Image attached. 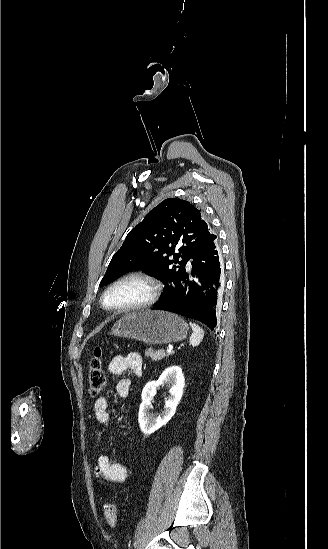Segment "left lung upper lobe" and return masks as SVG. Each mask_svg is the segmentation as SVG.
<instances>
[{"label": "left lung upper lobe", "mask_w": 328, "mask_h": 549, "mask_svg": "<svg viewBox=\"0 0 328 549\" xmlns=\"http://www.w3.org/2000/svg\"><path fill=\"white\" fill-rule=\"evenodd\" d=\"M215 239L200 210L188 201L168 198L128 233L100 286L131 270H141L164 283L165 297L185 272L187 262Z\"/></svg>", "instance_id": "obj_1"}]
</instances>
